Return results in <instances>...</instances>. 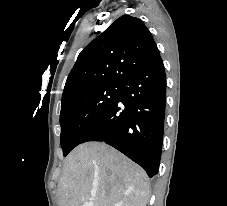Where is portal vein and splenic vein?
Listing matches in <instances>:
<instances>
[{"label": "portal vein and splenic vein", "mask_w": 227, "mask_h": 206, "mask_svg": "<svg viewBox=\"0 0 227 206\" xmlns=\"http://www.w3.org/2000/svg\"><path fill=\"white\" fill-rule=\"evenodd\" d=\"M83 206H94L93 201L87 202L85 203Z\"/></svg>", "instance_id": "18ae733b"}]
</instances>
